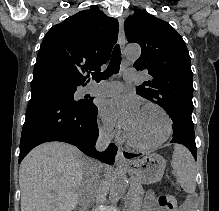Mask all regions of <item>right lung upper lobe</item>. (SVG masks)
I'll use <instances>...</instances> for the list:
<instances>
[{"instance_id": "right-lung-upper-lobe-1", "label": "right lung upper lobe", "mask_w": 219, "mask_h": 211, "mask_svg": "<svg viewBox=\"0 0 219 211\" xmlns=\"http://www.w3.org/2000/svg\"><path fill=\"white\" fill-rule=\"evenodd\" d=\"M118 21L97 8L83 10L53 26L45 35L31 88L86 85L87 71L100 69L118 36Z\"/></svg>"}]
</instances>
